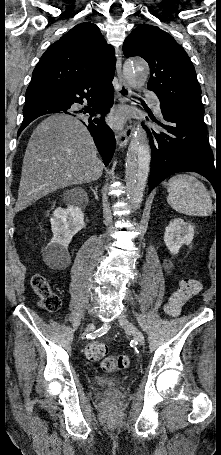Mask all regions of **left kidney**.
Instances as JSON below:
<instances>
[{
  "instance_id": "5707ae66",
  "label": "left kidney",
  "mask_w": 221,
  "mask_h": 455,
  "mask_svg": "<svg viewBox=\"0 0 221 455\" xmlns=\"http://www.w3.org/2000/svg\"><path fill=\"white\" fill-rule=\"evenodd\" d=\"M194 237V227L181 218L172 220L165 228L164 242L171 254H178L182 245H189Z\"/></svg>"
}]
</instances>
